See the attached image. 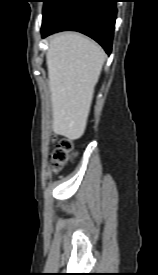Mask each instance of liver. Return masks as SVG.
<instances>
[{
  "instance_id": "liver-1",
  "label": "liver",
  "mask_w": 158,
  "mask_h": 275,
  "mask_svg": "<svg viewBox=\"0 0 158 275\" xmlns=\"http://www.w3.org/2000/svg\"><path fill=\"white\" fill-rule=\"evenodd\" d=\"M105 60L104 50L78 33H59L50 38L46 62L54 133L72 140L84 134Z\"/></svg>"
}]
</instances>
